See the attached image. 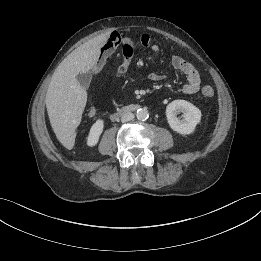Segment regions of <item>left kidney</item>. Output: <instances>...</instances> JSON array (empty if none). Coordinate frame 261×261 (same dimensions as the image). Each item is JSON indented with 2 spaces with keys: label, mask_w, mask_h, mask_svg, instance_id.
<instances>
[{
  "label": "left kidney",
  "mask_w": 261,
  "mask_h": 261,
  "mask_svg": "<svg viewBox=\"0 0 261 261\" xmlns=\"http://www.w3.org/2000/svg\"><path fill=\"white\" fill-rule=\"evenodd\" d=\"M180 112L183 113L182 120L177 118V114ZM166 117L172 130L187 135L193 133L196 125L200 122L201 111L190 102L174 100L166 107Z\"/></svg>",
  "instance_id": "left-kidney-1"
}]
</instances>
